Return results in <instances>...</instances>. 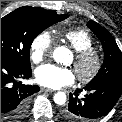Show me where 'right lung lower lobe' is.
Segmentation results:
<instances>
[{
	"label": "right lung lower lobe",
	"mask_w": 122,
	"mask_h": 122,
	"mask_svg": "<svg viewBox=\"0 0 122 122\" xmlns=\"http://www.w3.org/2000/svg\"><path fill=\"white\" fill-rule=\"evenodd\" d=\"M31 77V68H20L1 59V122H20L27 111L28 97L37 85H24L19 78Z\"/></svg>",
	"instance_id": "98d812e1"
}]
</instances>
